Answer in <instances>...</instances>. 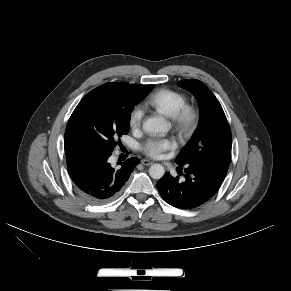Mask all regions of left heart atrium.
Instances as JSON below:
<instances>
[{
  "instance_id": "39dd6f15",
  "label": "left heart atrium",
  "mask_w": 291,
  "mask_h": 291,
  "mask_svg": "<svg viewBox=\"0 0 291 291\" xmlns=\"http://www.w3.org/2000/svg\"><path fill=\"white\" fill-rule=\"evenodd\" d=\"M176 146L174 140L170 138H151L143 145V151L146 155L158 158L167 150L174 149Z\"/></svg>"
}]
</instances>
